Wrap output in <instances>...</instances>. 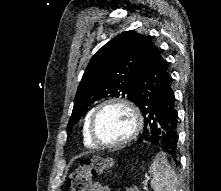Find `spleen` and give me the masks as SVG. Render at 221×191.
<instances>
[{
  "mask_svg": "<svg viewBox=\"0 0 221 191\" xmlns=\"http://www.w3.org/2000/svg\"><path fill=\"white\" fill-rule=\"evenodd\" d=\"M149 172L152 175L150 185L154 191H177L178 178L164 153L156 154Z\"/></svg>",
  "mask_w": 221,
  "mask_h": 191,
  "instance_id": "1",
  "label": "spleen"
}]
</instances>
